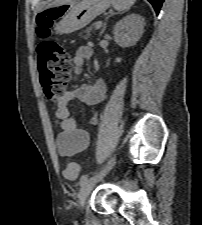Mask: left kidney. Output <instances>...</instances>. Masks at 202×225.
I'll use <instances>...</instances> for the list:
<instances>
[{"instance_id":"5707ae66","label":"left kidney","mask_w":202,"mask_h":225,"mask_svg":"<svg viewBox=\"0 0 202 225\" xmlns=\"http://www.w3.org/2000/svg\"><path fill=\"white\" fill-rule=\"evenodd\" d=\"M144 18L138 14H130L122 18L114 27L115 42L121 47L134 46L144 33ZM117 58L116 62H120Z\"/></svg>"}]
</instances>
